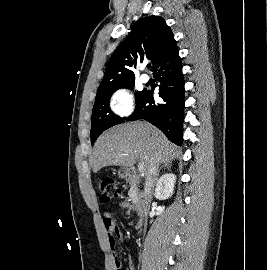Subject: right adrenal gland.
<instances>
[{
    "mask_svg": "<svg viewBox=\"0 0 267 270\" xmlns=\"http://www.w3.org/2000/svg\"><path fill=\"white\" fill-rule=\"evenodd\" d=\"M172 167V163L171 162H165V163H163V165L160 167V169H159V171H158V174L160 173V171L162 170V169H170Z\"/></svg>",
    "mask_w": 267,
    "mask_h": 270,
    "instance_id": "right-adrenal-gland-1",
    "label": "right adrenal gland"
}]
</instances>
